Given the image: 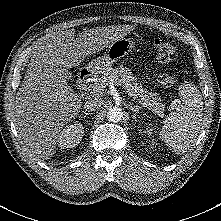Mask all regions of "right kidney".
<instances>
[{"mask_svg":"<svg viewBox=\"0 0 221 221\" xmlns=\"http://www.w3.org/2000/svg\"><path fill=\"white\" fill-rule=\"evenodd\" d=\"M83 133L84 127L81 122L70 124L58 134V145L62 149L74 148L82 140Z\"/></svg>","mask_w":221,"mask_h":221,"instance_id":"obj_1","label":"right kidney"}]
</instances>
